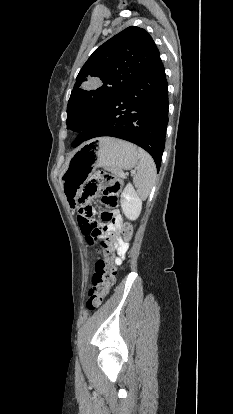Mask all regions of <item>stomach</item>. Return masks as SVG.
Listing matches in <instances>:
<instances>
[{
    "mask_svg": "<svg viewBox=\"0 0 233 414\" xmlns=\"http://www.w3.org/2000/svg\"><path fill=\"white\" fill-rule=\"evenodd\" d=\"M138 159L137 147L123 140L106 137L85 143L71 156L62 175V189L69 206H75L83 183L93 170H129L138 164Z\"/></svg>",
    "mask_w": 233,
    "mask_h": 414,
    "instance_id": "0dacf381",
    "label": "stomach"
}]
</instances>
